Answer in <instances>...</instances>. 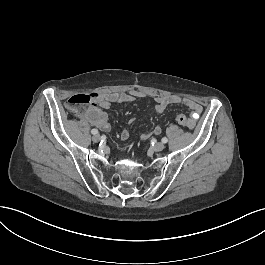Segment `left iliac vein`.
<instances>
[{
  "instance_id": "1",
  "label": "left iliac vein",
  "mask_w": 265,
  "mask_h": 265,
  "mask_svg": "<svg viewBox=\"0 0 265 265\" xmlns=\"http://www.w3.org/2000/svg\"><path fill=\"white\" fill-rule=\"evenodd\" d=\"M164 147H165L164 143L159 142V143H156L153 148L155 151H162Z\"/></svg>"
}]
</instances>
